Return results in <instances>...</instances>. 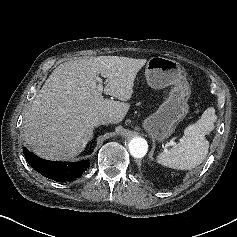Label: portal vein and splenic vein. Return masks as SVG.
<instances>
[{
    "label": "portal vein and splenic vein",
    "mask_w": 237,
    "mask_h": 237,
    "mask_svg": "<svg viewBox=\"0 0 237 237\" xmlns=\"http://www.w3.org/2000/svg\"><path fill=\"white\" fill-rule=\"evenodd\" d=\"M98 82H99V84H98L97 89H98L99 92L102 93L103 92V85H102V81H101L100 78H98Z\"/></svg>",
    "instance_id": "18ae733b"
}]
</instances>
